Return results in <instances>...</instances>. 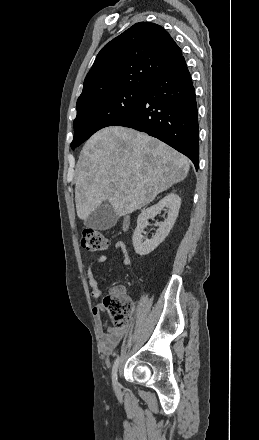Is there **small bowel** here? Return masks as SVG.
<instances>
[{"mask_svg": "<svg viewBox=\"0 0 259 440\" xmlns=\"http://www.w3.org/2000/svg\"><path fill=\"white\" fill-rule=\"evenodd\" d=\"M115 248L119 250L123 255V262L125 265L131 264V258L128 254L127 247L124 242L117 241L115 243ZM107 256L106 255H99L97 257L92 258L87 265V278H88V284L91 288V296L97 301L101 295V290L98 287L97 280L94 276V269L97 265L102 264L106 262ZM103 312V306L101 304H97L93 308V314L95 315L97 319V332L99 336V344L101 351L105 355H109L113 349L118 345V343L122 340L124 334H125V328L122 329H116L108 327L105 323H103L101 319V314Z\"/></svg>", "mask_w": 259, "mask_h": 440, "instance_id": "obj_1", "label": "small bowel"}]
</instances>
